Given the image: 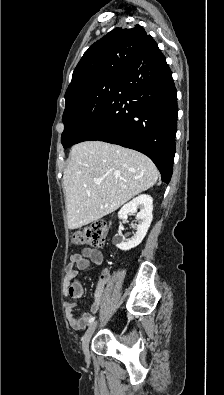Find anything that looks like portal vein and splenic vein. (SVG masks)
Returning <instances> with one entry per match:
<instances>
[{
    "mask_svg": "<svg viewBox=\"0 0 224 395\" xmlns=\"http://www.w3.org/2000/svg\"><path fill=\"white\" fill-rule=\"evenodd\" d=\"M95 182H96V184H98V185L101 184V181H100V180H96Z\"/></svg>",
    "mask_w": 224,
    "mask_h": 395,
    "instance_id": "portal-vein-and-splenic-vein-1",
    "label": "portal vein and splenic vein"
}]
</instances>
